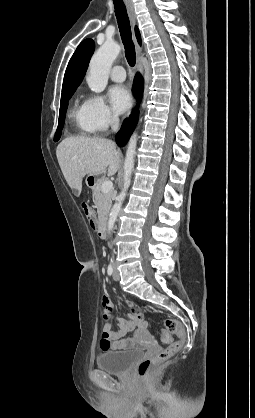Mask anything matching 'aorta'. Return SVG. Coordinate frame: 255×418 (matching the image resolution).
Returning <instances> with one entry per match:
<instances>
[{"label":"aorta","mask_w":255,"mask_h":418,"mask_svg":"<svg viewBox=\"0 0 255 418\" xmlns=\"http://www.w3.org/2000/svg\"><path fill=\"white\" fill-rule=\"evenodd\" d=\"M121 51L119 44L113 41H106L93 55L89 64L87 83L89 88L95 93H101L107 86L108 76L111 66ZM137 145V134L131 136L124 162V183L120 194L110 212L107 229L110 234L114 228L118 213L126 197L127 190L131 183L132 170L134 168L135 154Z\"/></svg>","instance_id":"aorta-1"}]
</instances>
